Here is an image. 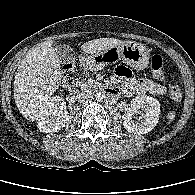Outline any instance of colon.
Instances as JSON below:
<instances>
[{"mask_svg": "<svg viewBox=\"0 0 195 195\" xmlns=\"http://www.w3.org/2000/svg\"><path fill=\"white\" fill-rule=\"evenodd\" d=\"M164 61L163 58L155 54L151 58V70L153 76L158 80L164 79ZM86 75V68L84 61L81 59L68 64L64 70V82L68 85L74 84L83 79ZM169 96L174 101H180L182 98V92L178 85H172L169 89Z\"/></svg>", "mask_w": 195, "mask_h": 195, "instance_id": "obj_1", "label": "colon"}]
</instances>
